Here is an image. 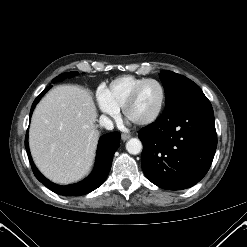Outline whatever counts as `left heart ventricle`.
I'll return each mask as SVG.
<instances>
[{
    "instance_id": "b2bd125f",
    "label": "left heart ventricle",
    "mask_w": 247,
    "mask_h": 247,
    "mask_svg": "<svg viewBox=\"0 0 247 247\" xmlns=\"http://www.w3.org/2000/svg\"><path fill=\"white\" fill-rule=\"evenodd\" d=\"M161 101V90L155 83L142 87L136 100L128 110L129 120L139 122L151 117L158 109Z\"/></svg>"
}]
</instances>
